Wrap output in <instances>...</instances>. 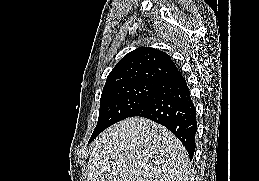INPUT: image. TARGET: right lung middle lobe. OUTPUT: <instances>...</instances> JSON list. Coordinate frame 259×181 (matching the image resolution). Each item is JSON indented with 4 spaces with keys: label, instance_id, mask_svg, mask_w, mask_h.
Returning a JSON list of instances; mask_svg holds the SVG:
<instances>
[{
    "label": "right lung middle lobe",
    "instance_id": "obj_1",
    "mask_svg": "<svg viewBox=\"0 0 259 181\" xmlns=\"http://www.w3.org/2000/svg\"><path fill=\"white\" fill-rule=\"evenodd\" d=\"M158 84L138 83L102 91L96 128L90 141L107 127L133 116L154 94Z\"/></svg>",
    "mask_w": 259,
    "mask_h": 181
}]
</instances>
